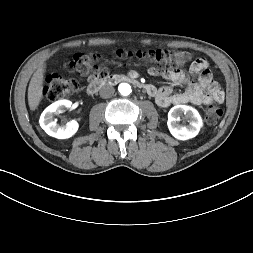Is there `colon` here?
I'll return each instance as SVG.
<instances>
[{
	"label": "colon",
	"mask_w": 253,
	"mask_h": 253,
	"mask_svg": "<svg viewBox=\"0 0 253 253\" xmlns=\"http://www.w3.org/2000/svg\"><path fill=\"white\" fill-rule=\"evenodd\" d=\"M114 57L123 65L143 61L159 67L173 64L176 67L191 60V53L187 51H170L162 49L149 50H127L119 49ZM67 70L85 76L87 81L95 83L99 78H105L110 73V66L94 53H78L68 62ZM81 84L75 79H66L59 75L47 77L43 87V94L48 100H58L80 88ZM206 121L209 124H216L223 115V110L216 104H209L205 110Z\"/></svg>",
	"instance_id": "1"
}]
</instances>
